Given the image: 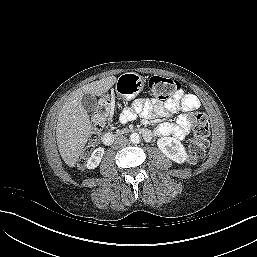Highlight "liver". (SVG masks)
<instances>
[{
  "instance_id": "obj_1",
  "label": "liver",
  "mask_w": 257,
  "mask_h": 257,
  "mask_svg": "<svg viewBox=\"0 0 257 257\" xmlns=\"http://www.w3.org/2000/svg\"><path fill=\"white\" fill-rule=\"evenodd\" d=\"M115 76L89 83L72 93L63 105L56 127V139L63 161L74 167L91 133V122L81 99L85 94L101 96L116 82Z\"/></svg>"
}]
</instances>
